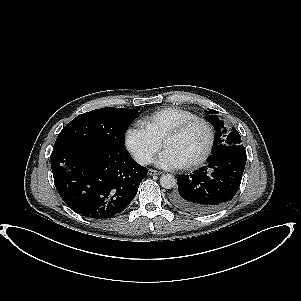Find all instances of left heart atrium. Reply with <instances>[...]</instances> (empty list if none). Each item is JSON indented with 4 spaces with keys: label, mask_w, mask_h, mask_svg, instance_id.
Masks as SVG:
<instances>
[{
    "label": "left heart atrium",
    "mask_w": 301,
    "mask_h": 301,
    "mask_svg": "<svg viewBox=\"0 0 301 301\" xmlns=\"http://www.w3.org/2000/svg\"><path fill=\"white\" fill-rule=\"evenodd\" d=\"M156 165L165 169H181L187 162L171 150L165 149L155 160Z\"/></svg>",
    "instance_id": "left-heart-atrium-1"
}]
</instances>
